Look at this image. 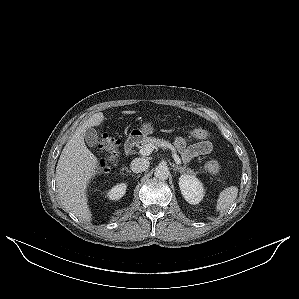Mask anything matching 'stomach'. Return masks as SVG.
Listing matches in <instances>:
<instances>
[{
	"instance_id": "stomach-1",
	"label": "stomach",
	"mask_w": 299,
	"mask_h": 299,
	"mask_svg": "<svg viewBox=\"0 0 299 299\" xmlns=\"http://www.w3.org/2000/svg\"><path fill=\"white\" fill-rule=\"evenodd\" d=\"M153 132V125L149 122H145L141 125L140 129H132L130 131L128 139L131 141H140Z\"/></svg>"
}]
</instances>
